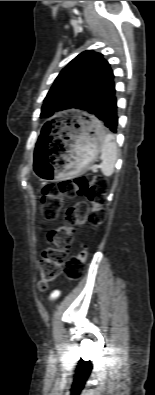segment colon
<instances>
[{"label": "colon", "instance_id": "obj_1", "mask_svg": "<svg viewBox=\"0 0 155 395\" xmlns=\"http://www.w3.org/2000/svg\"><path fill=\"white\" fill-rule=\"evenodd\" d=\"M108 190V181L101 176L85 174L74 179L62 181L56 185H47L41 194V212L46 220H55L66 198L83 196L81 201L67 208L63 215V224L47 235L52 244L40 260L39 289L45 290L61 272L65 265V275L69 280L82 276L86 250L72 256L65 262V253L71 245L74 231L88 222L92 227L100 226L105 220L104 202Z\"/></svg>", "mask_w": 155, "mask_h": 395}]
</instances>
